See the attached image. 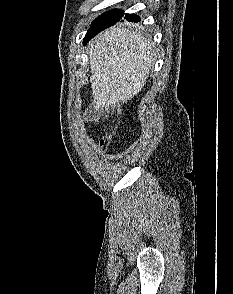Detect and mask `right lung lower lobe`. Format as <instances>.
<instances>
[{"instance_id":"1","label":"right lung lower lobe","mask_w":233,"mask_h":294,"mask_svg":"<svg viewBox=\"0 0 233 294\" xmlns=\"http://www.w3.org/2000/svg\"><path fill=\"white\" fill-rule=\"evenodd\" d=\"M124 15V14H123ZM122 18V17H121ZM120 18V19H121ZM125 18L128 20V21H132V22H138V21H140V18L137 16V15H135V14H126L125 15ZM119 19V20H120ZM118 22V21H117ZM115 23H112V22H110V23H104V24H101V25H99V26H97V27H95V28H92V29H90L88 32H87V34H86V36H85V38H84V44H86L93 36H95L96 34H98L99 32H101L102 30H104V29H106V28H108V27H110V26H112V25H114Z\"/></svg>"}]
</instances>
